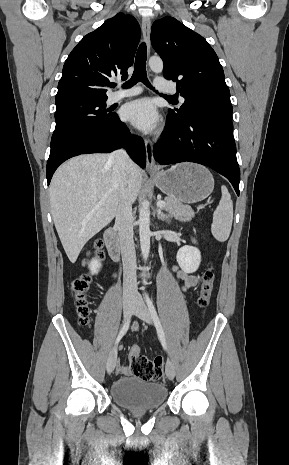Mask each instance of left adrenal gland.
<instances>
[{
	"instance_id": "obj_1",
	"label": "left adrenal gland",
	"mask_w": 289,
	"mask_h": 465,
	"mask_svg": "<svg viewBox=\"0 0 289 465\" xmlns=\"http://www.w3.org/2000/svg\"><path fill=\"white\" fill-rule=\"evenodd\" d=\"M156 212H157V218H158L159 220L165 221V222H167V223L169 222V220H170V214H165V213H163L162 210H161L160 208H157Z\"/></svg>"
}]
</instances>
